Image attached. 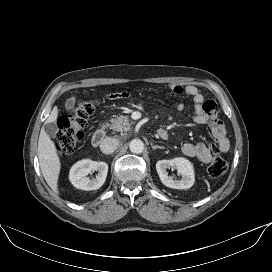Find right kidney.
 <instances>
[{"mask_svg":"<svg viewBox=\"0 0 272 272\" xmlns=\"http://www.w3.org/2000/svg\"><path fill=\"white\" fill-rule=\"evenodd\" d=\"M98 171L96 178L90 180L87 175ZM108 173V164L105 162L84 159L74 164L69 173V179L74 187L81 190H97L105 182Z\"/></svg>","mask_w":272,"mask_h":272,"instance_id":"right-kidney-1","label":"right kidney"}]
</instances>
